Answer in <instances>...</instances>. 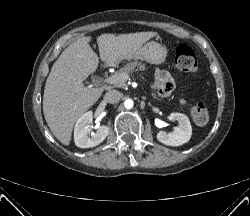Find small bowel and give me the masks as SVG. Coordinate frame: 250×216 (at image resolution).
<instances>
[{"instance_id": "c3829d8e", "label": "small bowel", "mask_w": 250, "mask_h": 216, "mask_svg": "<svg viewBox=\"0 0 250 216\" xmlns=\"http://www.w3.org/2000/svg\"><path fill=\"white\" fill-rule=\"evenodd\" d=\"M155 86L160 95L167 96L171 93L174 87V82L168 73L164 71H157L155 74Z\"/></svg>"}]
</instances>
